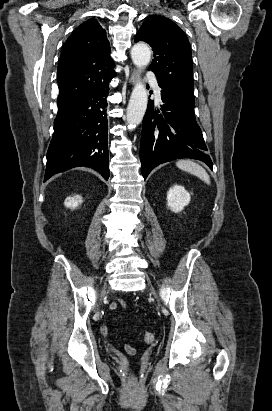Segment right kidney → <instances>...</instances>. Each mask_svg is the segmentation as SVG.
<instances>
[{"mask_svg":"<svg viewBox=\"0 0 272 411\" xmlns=\"http://www.w3.org/2000/svg\"><path fill=\"white\" fill-rule=\"evenodd\" d=\"M82 203V197L75 195L73 197H67L64 201V205L68 208L75 209Z\"/></svg>","mask_w":272,"mask_h":411,"instance_id":"obj_1","label":"right kidney"}]
</instances>
